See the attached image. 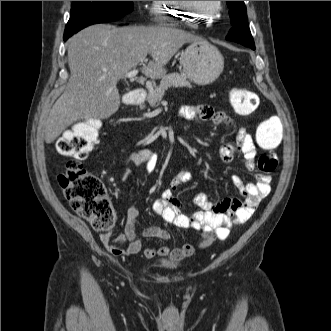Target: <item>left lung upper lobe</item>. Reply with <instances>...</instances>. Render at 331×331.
Returning <instances> with one entry per match:
<instances>
[{
	"instance_id": "left-lung-upper-lobe-1",
	"label": "left lung upper lobe",
	"mask_w": 331,
	"mask_h": 331,
	"mask_svg": "<svg viewBox=\"0 0 331 331\" xmlns=\"http://www.w3.org/2000/svg\"><path fill=\"white\" fill-rule=\"evenodd\" d=\"M232 28L226 39L241 43L250 48L255 47L247 21L244 1H227Z\"/></svg>"
}]
</instances>
